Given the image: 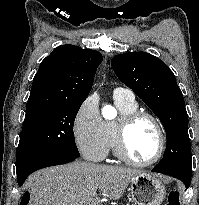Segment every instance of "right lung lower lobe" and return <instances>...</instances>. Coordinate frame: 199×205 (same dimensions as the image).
I'll list each match as a JSON object with an SVG mask.
<instances>
[{
  "label": "right lung lower lobe",
  "instance_id": "1",
  "mask_svg": "<svg viewBox=\"0 0 199 205\" xmlns=\"http://www.w3.org/2000/svg\"><path fill=\"white\" fill-rule=\"evenodd\" d=\"M74 159L75 158L62 157V156H52V157L44 158V159H41L37 162H34L17 173L18 185L22 186L23 183L25 182L26 178L36 170H39V169H42L45 167H49V166L69 163V162L73 161Z\"/></svg>",
  "mask_w": 199,
  "mask_h": 205
}]
</instances>
